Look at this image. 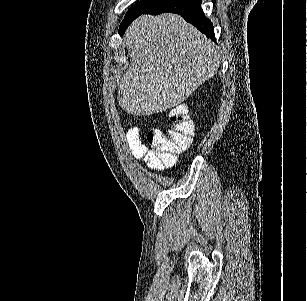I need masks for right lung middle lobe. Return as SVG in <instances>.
<instances>
[{"label": "right lung middle lobe", "instance_id": "obj_1", "mask_svg": "<svg viewBox=\"0 0 307 301\" xmlns=\"http://www.w3.org/2000/svg\"><path fill=\"white\" fill-rule=\"evenodd\" d=\"M160 1L161 0H140L134 6H132L126 13L124 20L122 21L119 27L120 35H122L125 32L127 27L131 24V22L134 19H136L138 16H140L142 13H144L146 10H148L149 8H151L153 5H155Z\"/></svg>", "mask_w": 307, "mask_h": 301}]
</instances>
